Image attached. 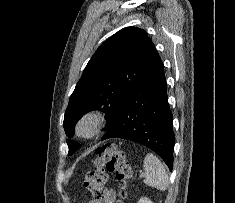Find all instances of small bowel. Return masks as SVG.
I'll return each mask as SVG.
<instances>
[{
    "label": "small bowel",
    "mask_w": 235,
    "mask_h": 203,
    "mask_svg": "<svg viewBox=\"0 0 235 203\" xmlns=\"http://www.w3.org/2000/svg\"><path fill=\"white\" fill-rule=\"evenodd\" d=\"M89 203H116V192L113 189H109L104 197L95 199Z\"/></svg>",
    "instance_id": "1"
}]
</instances>
